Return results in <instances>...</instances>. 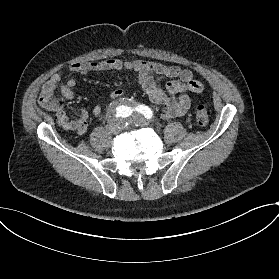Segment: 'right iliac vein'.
Segmentation results:
<instances>
[{
    "label": "right iliac vein",
    "mask_w": 279,
    "mask_h": 279,
    "mask_svg": "<svg viewBox=\"0 0 279 279\" xmlns=\"http://www.w3.org/2000/svg\"><path fill=\"white\" fill-rule=\"evenodd\" d=\"M115 124L113 123H109V130L112 131V132H116V128H115Z\"/></svg>",
    "instance_id": "right-iliac-vein-1"
}]
</instances>
